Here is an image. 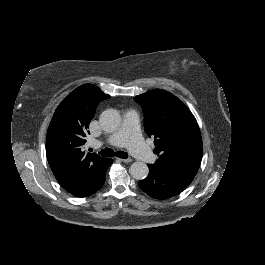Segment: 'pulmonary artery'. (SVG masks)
I'll use <instances>...</instances> for the list:
<instances>
[{
  "mask_svg": "<svg viewBox=\"0 0 265 265\" xmlns=\"http://www.w3.org/2000/svg\"><path fill=\"white\" fill-rule=\"evenodd\" d=\"M138 115L125 111L123 114V124L118 127V130L106 138V146L108 148L122 147L124 143H128L129 150L139 160L144 163H153L155 161V154L140 143V135L138 131ZM93 142L101 146L102 142L93 140Z\"/></svg>",
  "mask_w": 265,
  "mask_h": 265,
  "instance_id": "pulmonary-artery-1",
  "label": "pulmonary artery"
}]
</instances>
